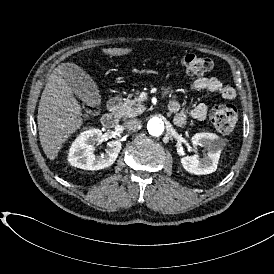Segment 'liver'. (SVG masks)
Here are the masks:
<instances>
[{
  "instance_id": "liver-1",
  "label": "liver",
  "mask_w": 274,
  "mask_h": 274,
  "mask_svg": "<svg viewBox=\"0 0 274 274\" xmlns=\"http://www.w3.org/2000/svg\"><path fill=\"white\" fill-rule=\"evenodd\" d=\"M132 48H101L107 56L131 54ZM82 70L76 64L63 63L54 68L41 95L37 124L40 145L46 157L55 161L64 143L78 132L87 121L83 108L71 88L73 77Z\"/></svg>"
}]
</instances>
